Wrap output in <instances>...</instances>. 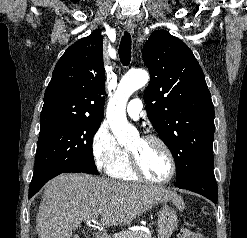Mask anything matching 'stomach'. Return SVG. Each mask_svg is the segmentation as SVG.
<instances>
[{"instance_id":"0dacf381","label":"stomach","mask_w":247,"mask_h":238,"mask_svg":"<svg viewBox=\"0 0 247 238\" xmlns=\"http://www.w3.org/2000/svg\"><path fill=\"white\" fill-rule=\"evenodd\" d=\"M178 225L176 211L170 206L164 205L159 212L158 217V238H170Z\"/></svg>"}]
</instances>
